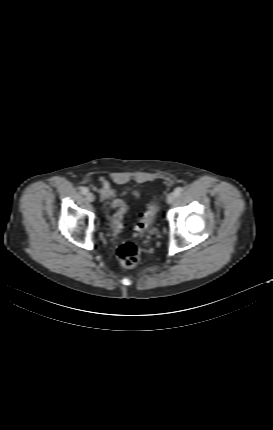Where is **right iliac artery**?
<instances>
[{
    "instance_id": "82829eb1",
    "label": "right iliac artery",
    "mask_w": 273,
    "mask_h": 430,
    "mask_svg": "<svg viewBox=\"0 0 273 430\" xmlns=\"http://www.w3.org/2000/svg\"><path fill=\"white\" fill-rule=\"evenodd\" d=\"M81 193L84 194V195L87 194L88 193V188L82 187L81 188Z\"/></svg>"
}]
</instances>
